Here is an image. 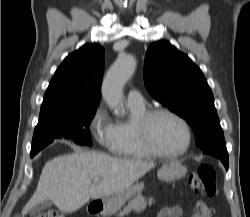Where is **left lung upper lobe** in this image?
Wrapping results in <instances>:
<instances>
[{
  "instance_id": "obj_1",
  "label": "left lung upper lobe",
  "mask_w": 250,
  "mask_h": 217,
  "mask_svg": "<svg viewBox=\"0 0 250 217\" xmlns=\"http://www.w3.org/2000/svg\"><path fill=\"white\" fill-rule=\"evenodd\" d=\"M144 82L150 95L184 118L204 150L224 143L212 91L199 67L167 41L151 44Z\"/></svg>"
}]
</instances>
